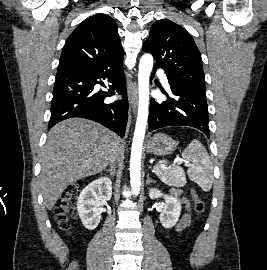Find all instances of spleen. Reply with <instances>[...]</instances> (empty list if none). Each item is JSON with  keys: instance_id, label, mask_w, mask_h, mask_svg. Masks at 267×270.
Here are the masks:
<instances>
[{"instance_id": "spleen-1", "label": "spleen", "mask_w": 267, "mask_h": 270, "mask_svg": "<svg viewBox=\"0 0 267 270\" xmlns=\"http://www.w3.org/2000/svg\"><path fill=\"white\" fill-rule=\"evenodd\" d=\"M182 157L188 162L189 178L202 190L209 191L213 183V164L203 144L199 140H192ZM167 176L173 179H166ZM161 177L174 186H183L186 183L184 171L179 166L172 165Z\"/></svg>"}]
</instances>
